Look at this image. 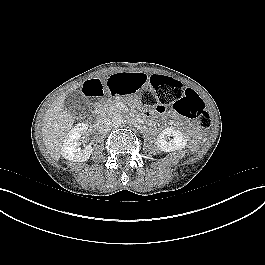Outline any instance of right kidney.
I'll use <instances>...</instances> for the list:
<instances>
[{"mask_svg":"<svg viewBox=\"0 0 265 265\" xmlns=\"http://www.w3.org/2000/svg\"><path fill=\"white\" fill-rule=\"evenodd\" d=\"M87 129L88 126L86 124L79 123L67 133L61 148V155L65 159L73 162H85L90 158L93 152L91 145L81 149V142L79 141Z\"/></svg>","mask_w":265,"mask_h":265,"instance_id":"obj_1","label":"right kidney"}]
</instances>
